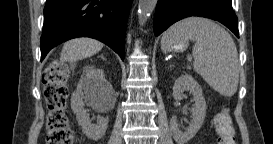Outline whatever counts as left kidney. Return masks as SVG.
Wrapping results in <instances>:
<instances>
[{"label": "left kidney", "mask_w": 273, "mask_h": 144, "mask_svg": "<svg viewBox=\"0 0 273 144\" xmlns=\"http://www.w3.org/2000/svg\"><path fill=\"white\" fill-rule=\"evenodd\" d=\"M184 91L192 93L195 105L192 109V120L186 131H182L178 128L175 116L170 119V128L177 144H185L192 139L200 129L206 116V101L203 97L202 89L197 81L188 74L181 75L175 81L173 86L174 99L176 101L182 100Z\"/></svg>", "instance_id": "obj_1"}]
</instances>
